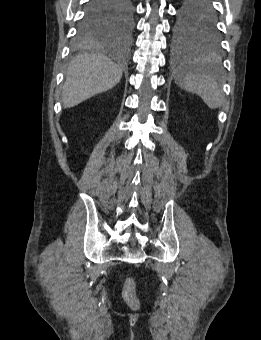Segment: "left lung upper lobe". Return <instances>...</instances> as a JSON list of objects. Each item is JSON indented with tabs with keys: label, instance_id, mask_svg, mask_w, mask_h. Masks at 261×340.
Masks as SVG:
<instances>
[{
	"label": "left lung upper lobe",
	"instance_id": "5c2ea615",
	"mask_svg": "<svg viewBox=\"0 0 261 340\" xmlns=\"http://www.w3.org/2000/svg\"><path fill=\"white\" fill-rule=\"evenodd\" d=\"M205 0H185L173 29L177 49L200 52L211 58L222 54L221 36L213 6Z\"/></svg>",
	"mask_w": 261,
	"mask_h": 340
}]
</instances>
